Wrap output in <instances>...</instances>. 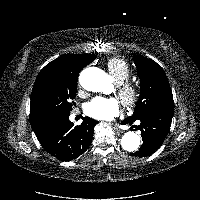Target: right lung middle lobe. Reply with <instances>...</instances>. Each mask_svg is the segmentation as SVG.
<instances>
[{
    "label": "right lung middle lobe",
    "mask_w": 200,
    "mask_h": 200,
    "mask_svg": "<svg viewBox=\"0 0 200 200\" xmlns=\"http://www.w3.org/2000/svg\"><path fill=\"white\" fill-rule=\"evenodd\" d=\"M76 91L77 79L38 86L31 94L30 115L71 111L75 103L70 101L76 97Z\"/></svg>",
    "instance_id": "obj_1"
}]
</instances>
